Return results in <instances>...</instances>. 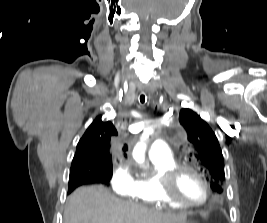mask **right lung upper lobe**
I'll return each instance as SVG.
<instances>
[{"label":"right lung upper lobe","instance_id":"1","mask_svg":"<svg viewBox=\"0 0 267 223\" xmlns=\"http://www.w3.org/2000/svg\"><path fill=\"white\" fill-rule=\"evenodd\" d=\"M117 135L110 121H102L98 116L80 139L71 165V173L103 174L112 168L109 142ZM80 166L78 169L77 167ZM107 177V176H106Z\"/></svg>","mask_w":267,"mask_h":223}]
</instances>
